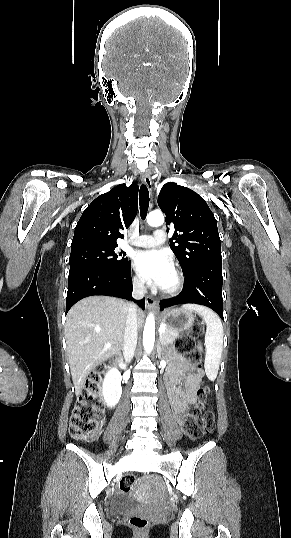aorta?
I'll use <instances>...</instances> for the list:
<instances>
[{
	"instance_id": "1",
	"label": "aorta",
	"mask_w": 291,
	"mask_h": 538,
	"mask_svg": "<svg viewBox=\"0 0 291 538\" xmlns=\"http://www.w3.org/2000/svg\"><path fill=\"white\" fill-rule=\"evenodd\" d=\"M147 223L150 226L157 227L164 223V216L162 212L154 211L150 212L147 216ZM155 342V317L150 313L145 322L143 331V347L145 352L151 353L154 348Z\"/></svg>"
}]
</instances>
